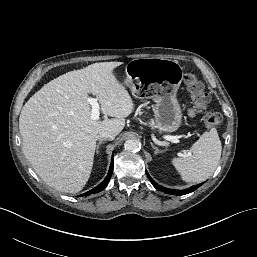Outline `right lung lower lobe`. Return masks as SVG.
<instances>
[{
	"instance_id": "obj_1",
	"label": "right lung lower lobe",
	"mask_w": 257,
	"mask_h": 257,
	"mask_svg": "<svg viewBox=\"0 0 257 257\" xmlns=\"http://www.w3.org/2000/svg\"><path fill=\"white\" fill-rule=\"evenodd\" d=\"M113 173V158H112V162H111V165H110V168H109V172L107 174V177L98 185L96 186L95 188L91 189L90 191L86 192V193H83L81 194L80 196H88V195H91L93 193H97V192H100L102 191L103 189H105V187L108 185L109 183V180L111 178V175Z\"/></svg>"
}]
</instances>
